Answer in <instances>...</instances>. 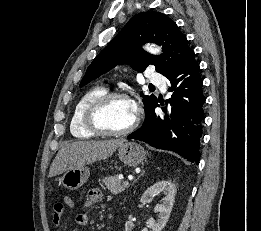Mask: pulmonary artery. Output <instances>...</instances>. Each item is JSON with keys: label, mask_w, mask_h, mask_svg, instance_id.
<instances>
[{"label": "pulmonary artery", "mask_w": 261, "mask_h": 231, "mask_svg": "<svg viewBox=\"0 0 261 231\" xmlns=\"http://www.w3.org/2000/svg\"><path fill=\"white\" fill-rule=\"evenodd\" d=\"M150 81L153 85L159 86L161 89H166V79L165 77L160 73H152L150 75Z\"/></svg>", "instance_id": "1"}]
</instances>
